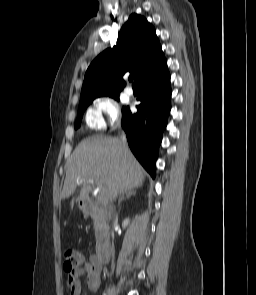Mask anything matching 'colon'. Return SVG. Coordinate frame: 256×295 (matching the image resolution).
Returning a JSON list of instances; mask_svg holds the SVG:
<instances>
[{
    "mask_svg": "<svg viewBox=\"0 0 256 295\" xmlns=\"http://www.w3.org/2000/svg\"><path fill=\"white\" fill-rule=\"evenodd\" d=\"M83 262V256L80 252L71 247H66L63 250V267L64 270L71 272L76 270Z\"/></svg>",
    "mask_w": 256,
    "mask_h": 295,
    "instance_id": "1",
    "label": "colon"
}]
</instances>
